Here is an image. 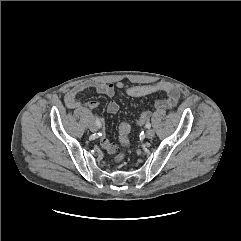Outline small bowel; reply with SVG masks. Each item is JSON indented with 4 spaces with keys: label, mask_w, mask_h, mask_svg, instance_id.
I'll return each mask as SVG.
<instances>
[{
    "label": "small bowel",
    "mask_w": 241,
    "mask_h": 241,
    "mask_svg": "<svg viewBox=\"0 0 241 241\" xmlns=\"http://www.w3.org/2000/svg\"><path fill=\"white\" fill-rule=\"evenodd\" d=\"M94 89L97 93L113 97L116 89H119L131 97H142L150 94L164 93L167 95L165 99L158 100L155 104L159 109H172L175 107L180 98V92L178 89L168 82H158L148 85H129L122 81L113 83H100V82H83L71 87L65 95V104L70 109H76L83 105L82 101L78 99V95L87 90ZM87 105L90 108L98 107L97 101H89ZM109 114H116L119 110V104L115 100H111L106 107ZM150 117V111H143L136 120L138 126L143 125ZM101 146L107 153L113 154L116 150L114 142L106 138L104 133L100 138Z\"/></svg>",
    "instance_id": "obj_1"
}]
</instances>
